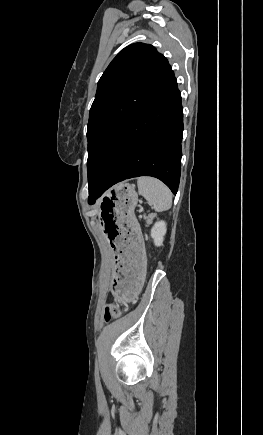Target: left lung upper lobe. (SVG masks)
Instances as JSON below:
<instances>
[{
  "mask_svg": "<svg viewBox=\"0 0 263 435\" xmlns=\"http://www.w3.org/2000/svg\"><path fill=\"white\" fill-rule=\"evenodd\" d=\"M173 77L167 59L149 44H131L112 60L89 114L88 186L128 125Z\"/></svg>",
  "mask_w": 263,
  "mask_h": 435,
  "instance_id": "obj_1",
  "label": "left lung upper lobe"
}]
</instances>
